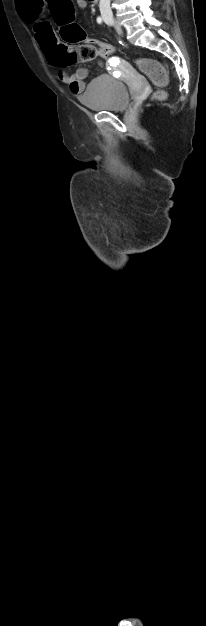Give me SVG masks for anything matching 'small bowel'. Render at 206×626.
Segmentation results:
<instances>
[{
	"label": "small bowel",
	"mask_w": 206,
	"mask_h": 626,
	"mask_svg": "<svg viewBox=\"0 0 206 626\" xmlns=\"http://www.w3.org/2000/svg\"><path fill=\"white\" fill-rule=\"evenodd\" d=\"M77 6L79 9H86L87 1L86 0H76ZM46 23L38 22L34 25V35L35 39L46 56L47 60L55 65L59 66L55 63L56 57V49L60 45L54 36L53 32L49 29H44L43 26ZM110 61L116 63L117 67L122 69H127L128 64L126 61L112 57ZM88 70L86 68H79L73 74L68 73L63 69H59L57 76L58 79L64 84L69 86V89L74 94H81L85 89V79L87 78Z\"/></svg>",
	"instance_id": "small-bowel-1"
}]
</instances>
